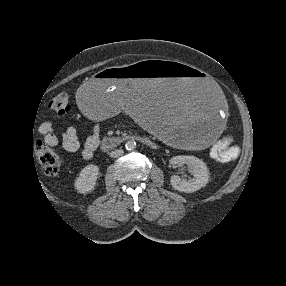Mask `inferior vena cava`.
Here are the masks:
<instances>
[{
    "mask_svg": "<svg viewBox=\"0 0 286 286\" xmlns=\"http://www.w3.org/2000/svg\"><path fill=\"white\" fill-rule=\"evenodd\" d=\"M124 151L122 149H116L110 152V157L112 158H118L121 155H123Z\"/></svg>",
    "mask_w": 286,
    "mask_h": 286,
    "instance_id": "602c4592",
    "label": "inferior vena cava"
}]
</instances>
